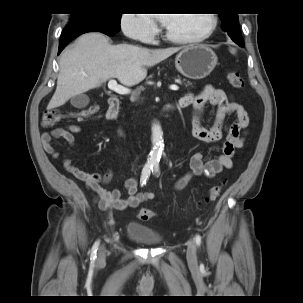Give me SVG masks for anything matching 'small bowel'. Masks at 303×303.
Masks as SVG:
<instances>
[{
  "label": "small bowel",
  "mask_w": 303,
  "mask_h": 303,
  "mask_svg": "<svg viewBox=\"0 0 303 303\" xmlns=\"http://www.w3.org/2000/svg\"><path fill=\"white\" fill-rule=\"evenodd\" d=\"M182 107L192 104L194 108L192 118V134L204 143H216L223 139V126L228 117H234L228 132L224 137L221 146V154L217 157L206 159L202 151L195 152L189 160V171L181 176L174 184L176 190H182L189 181L195 176L205 175L214 177L223 169L233 167V157L236 149L243 143L245 129L248 125V116L242 105L233 101L223 90L217 89L211 85L205 86L198 94H186L179 102ZM207 104L215 107V116L210 128L203 125V114ZM81 128L78 125L69 124L64 128H55L42 133V146L46 153L60 160L63 168L74 177L84 182L96 197L101 209H112L123 211L127 208L138 207L142 202L154 198L152 192L140 193L138 191L139 182L131 177L124 181L122 190H107L103 185L110 183L112 173L107 171L105 174L88 173L79 169L68 158L67 150L73 144V134L79 133ZM54 139H63L65 145L63 150L59 151L54 146Z\"/></svg>",
  "instance_id": "obj_1"
}]
</instances>
